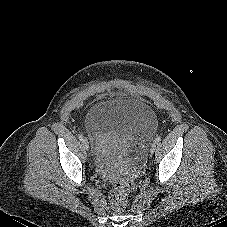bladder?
I'll list each match as a JSON object with an SVG mask.
<instances>
[{"label":"bladder","mask_w":227,"mask_h":227,"mask_svg":"<svg viewBox=\"0 0 227 227\" xmlns=\"http://www.w3.org/2000/svg\"><path fill=\"white\" fill-rule=\"evenodd\" d=\"M155 112L135 99L105 100L91 106L84 119L87 134L97 142L95 156H140L157 130Z\"/></svg>","instance_id":"obj_1"}]
</instances>
